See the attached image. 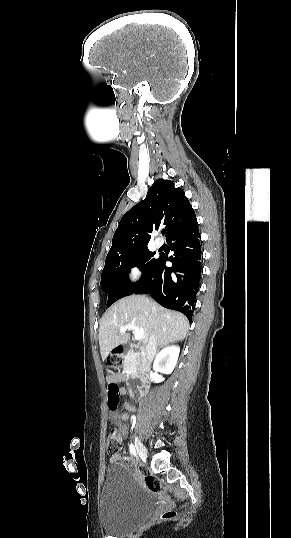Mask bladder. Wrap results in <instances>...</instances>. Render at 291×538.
Returning a JSON list of instances; mask_svg holds the SVG:
<instances>
[{
    "label": "bladder",
    "mask_w": 291,
    "mask_h": 538,
    "mask_svg": "<svg viewBox=\"0 0 291 538\" xmlns=\"http://www.w3.org/2000/svg\"><path fill=\"white\" fill-rule=\"evenodd\" d=\"M155 509V502L123 465L106 468L100 496V523L112 535L132 532Z\"/></svg>",
    "instance_id": "bladder-1"
}]
</instances>
